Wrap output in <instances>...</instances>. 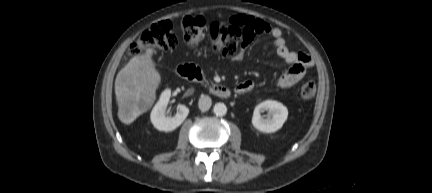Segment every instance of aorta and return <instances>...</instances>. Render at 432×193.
Returning <instances> with one entry per match:
<instances>
[{
    "mask_svg": "<svg viewBox=\"0 0 432 193\" xmlns=\"http://www.w3.org/2000/svg\"><path fill=\"white\" fill-rule=\"evenodd\" d=\"M213 112L217 116H224L227 113V107L224 103H216L214 108H213Z\"/></svg>",
    "mask_w": 432,
    "mask_h": 193,
    "instance_id": "aorta-1",
    "label": "aorta"
}]
</instances>
